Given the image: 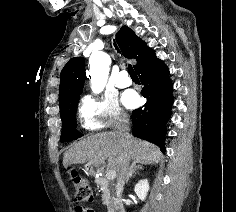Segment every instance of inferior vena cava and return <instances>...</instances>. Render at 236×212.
<instances>
[{
	"mask_svg": "<svg viewBox=\"0 0 236 212\" xmlns=\"http://www.w3.org/2000/svg\"><path fill=\"white\" fill-rule=\"evenodd\" d=\"M129 119L126 115H121L119 118V123L116 126V133L121 138V143L124 148V151L120 158L119 167L117 170V179H116V194L119 198L123 192V187L125 185L126 179L129 174L130 169V157L126 149V138L129 134Z\"/></svg>",
	"mask_w": 236,
	"mask_h": 212,
	"instance_id": "obj_1",
	"label": "inferior vena cava"
}]
</instances>
